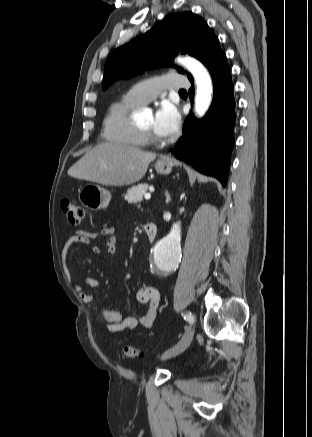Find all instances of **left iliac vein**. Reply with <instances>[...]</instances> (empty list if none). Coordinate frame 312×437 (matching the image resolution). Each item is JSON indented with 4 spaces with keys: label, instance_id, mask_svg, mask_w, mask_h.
Returning a JSON list of instances; mask_svg holds the SVG:
<instances>
[{
    "label": "left iliac vein",
    "instance_id": "4c4485c4",
    "mask_svg": "<svg viewBox=\"0 0 312 437\" xmlns=\"http://www.w3.org/2000/svg\"><path fill=\"white\" fill-rule=\"evenodd\" d=\"M193 336H194V329L192 327H189L183 338L174 347L166 351L163 354L162 358L168 359L181 354L183 351H185L188 348V346L190 345L193 339Z\"/></svg>",
    "mask_w": 312,
    "mask_h": 437
}]
</instances>
